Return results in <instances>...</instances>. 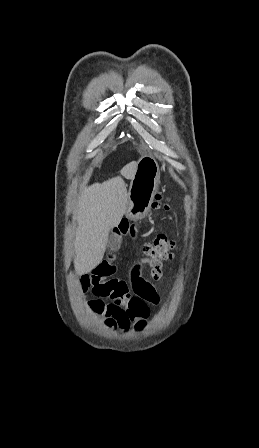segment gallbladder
Returning <instances> with one entry per match:
<instances>
[{
  "label": "gallbladder",
  "mask_w": 259,
  "mask_h": 448,
  "mask_svg": "<svg viewBox=\"0 0 259 448\" xmlns=\"http://www.w3.org/2000/svg\"><path fill=\"white\" fill-rule=\"evenodd\" d=\"M121 246L120 238H116V236H109L108 238V248L111 250H118Z\"/></svg>",
  "instance_id": "gallbladder-1"
}]
</instances>
